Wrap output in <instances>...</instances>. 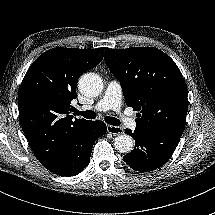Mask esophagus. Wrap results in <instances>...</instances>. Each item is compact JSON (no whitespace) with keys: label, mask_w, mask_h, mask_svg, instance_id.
<instances>
[{"label":"esophagus","mask_w":215,"mask_h":215,"mask_svg":"<svg viewBox=\"0 0 215 215\" xmlns=\"http://www.w3.org/2000/svg\"><path fill=\"white\" fill-rule=\"evenodd\" d=\"M107 132L112 135H121L124 133V130L119 126L107 125Z\"/></svg>","instance_id":"34e87169"}]
</instances>
